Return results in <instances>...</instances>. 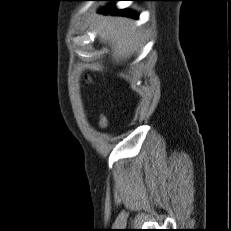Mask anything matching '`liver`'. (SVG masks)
<instances>
[{"label":"liver","instance_id":"6515ba94","mask_svg":"<svg viewBox=\"0 0 231 231\" xmlns=\"http://www.w3.org/2000/svg\"><path fill=\"white\" fill-rule=\"evenodd\" d=\"M141 33L130 29V22L122 17L107 21L100 33L101 39L114 44L113 58L116 61L127 58L139 44Z\"/></svg>","mask_w":231,"mask_h":231}]
</instances>
